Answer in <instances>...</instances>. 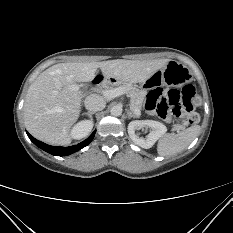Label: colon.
<instances>
[{
  "instance_id": "colon-1",
  "label": "colon",
  "mask_w": 233,
  "mask_h": 233,
  "mask_svg": "<svg viewBox=\"0 0 233 233\" xmlns=\"http://www.w3.org/2000/svg\"><path fill=\"white\" fill-rule=\"evenodd\" d=\"M198 100L192 85H186L181 90L155 88L148 93L145 108L165 120H175L186 115L190 124H196L200 117L193 108Z\"/></svg>"
}]
</instances>
